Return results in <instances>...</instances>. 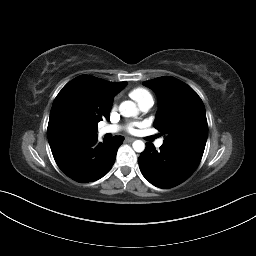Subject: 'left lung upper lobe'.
Here are the masks:
<instances>
[{
    "instance_id": "1",
    "label": "left lung upper lobe",
    "mask_w": 256,
    "mask_h": 256,
    "mask_svg": "<svg viewBox=\"0 0 256 256\" xmlns=\"http://www.w3.org/2000/svg\"><path fill=\"white\" fill-rule=\"evenodd\" d=\"M159 99L154 127L166 134L163 147L200 163L208 135L205 107L198 94L174 77L143 82Z\"/></svg>"
}]
</instances>
